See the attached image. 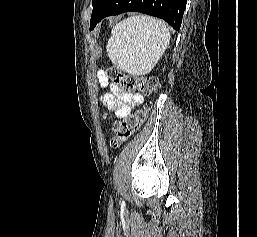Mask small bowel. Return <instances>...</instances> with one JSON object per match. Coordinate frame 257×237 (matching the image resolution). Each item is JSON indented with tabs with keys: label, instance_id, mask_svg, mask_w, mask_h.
Here are the masks:
<instances>
[{
	"label": "small bowel",
	"instance_id": "obj_1",
	"mask_svg": "<svg viewBox=\"0 0 257 237\" xmlns=\"http://www.w3.org/2000/svg\"><path fill=\"white\" fill-rule=\"evenodd\" d=\"M98 79L102 86L108 85V79L103 71L98 73ZM102 102L110 110H114L118 118H125L133 108L142 104L143 97L140 94L124 92L119 87L112 85L110 92L103 96Z\"/></svg>",
	"mask_w": 257,
	"mask_h": 237
}]
</instances>
